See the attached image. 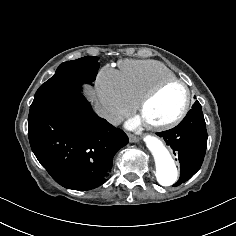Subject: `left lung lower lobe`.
<instances>
[{
	"mask_svg": "<svg viewBox=\"0 0 236 236\" xmlns=\"http://www.w3.org/2000/svg\"><path fill=\"white\" fill-rule=\"evenodd\" d=\"M173 149L180 163L179 186L191 178L201 167L206 148L207 131L201 105L198 101L176 127L157 133Z\"/></svg>",
	"mask_w": 236,
	"mask_h": 236,
	"instance_id": "obj_1",
	"label": "left lung lower lobe"
}]
</instances>
